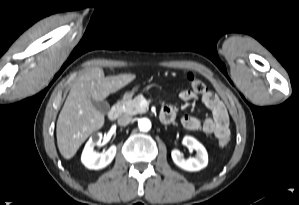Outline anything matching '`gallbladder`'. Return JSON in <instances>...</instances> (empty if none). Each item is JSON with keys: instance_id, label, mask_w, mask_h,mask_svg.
<instances>
[{"instance_id": "gallbladder-1", "label": "gallbladder", "mask_w": 299, "mask_h": 205, "mask_svg": "<svg viewBox=\"0 0 299 205\" xmlns=\"http://www.w3.org/2000/svg\"><path fill=\"white\" fill-rule=\"evenodd\" d=\"M94 107L103 114H107L110 110V105L107 101L91 100Z\"/></svg>"}]
</instances>
